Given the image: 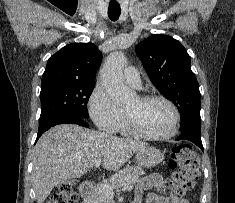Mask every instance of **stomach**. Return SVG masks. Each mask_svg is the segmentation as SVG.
I'll use <instances>...</instances> for the list:
<instances>
[{
	"label": "stomach",
	"mask_w": 235,
	"mask_h": 203,
	"mask_svg": "<svg viewBox=\"0 0 235 203\" xmlns=\"http://www.w3.org/2000/svg\"><path fill=\"white\" fill-rule=\"evenodd\" d=\"M136 159L140 166L150 168L159 164L163 159V153L152 146H144L136 152Z\"/></svg>",
	"instance_id": "1"
}]
</instances>
